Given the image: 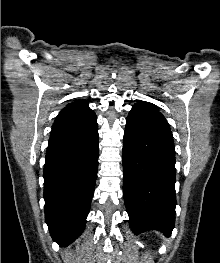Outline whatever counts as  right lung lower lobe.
I'll return each instance as SVG.
<instances>
[{"instance_id":"1","label":"right lung lower lobe","mask_w":220,"mask_h":263,"mask_svg":"<svg viewBox=\"0 0 220 263\" xmlns=\"http://www.w3.org/2000/svg\"><path fill=\"white\" fill-rule=\"evenodd\" d=\"M98 143V127L77 137L50 136L43 174L45 222L61 246L84 229L97 176Z\"/></svg>"}]
</instances>
